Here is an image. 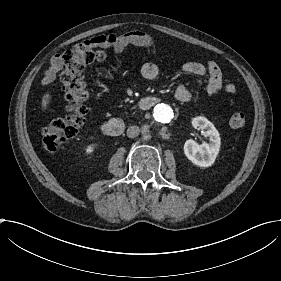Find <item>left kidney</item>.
Segmentation results:
<instances>
[{
	"label": "left kidney",
	"mask_w": 281,
	"mask_h": 281,
	"mask_svg": "<svg viewBox=\"0 0 281 281\" xmlns=\"http://www.w3.org/2000/svg\"><path fill=\"white\" fill-rule=\"evenodd\" d=\"M192 126L206 130L205 135L209 137V143L198 144L193 139H189L184 144V153L186 157L199 167L211 166L220 149V135L215 126L205 117L198 116L193 118Z\"/></svg>",
	"instance_id": "1"
}]
</instances>
